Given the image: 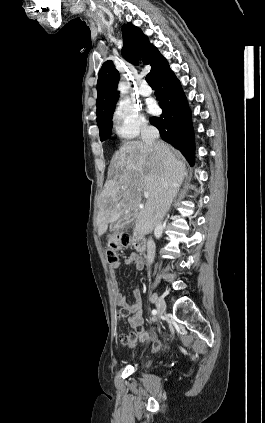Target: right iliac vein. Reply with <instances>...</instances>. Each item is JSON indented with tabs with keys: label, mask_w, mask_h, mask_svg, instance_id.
Returning a JSON list of instances; mask_svg holds the SVG:
<instances>
[{
	"label": "right iliac vein",
	"mask_w": 265,
	"mask_h": 423,
	"mask_svg": "<svg viewBox=\"0 0 265 423\" xmlns=\"http://www.w3.org/2000/svg\"><path fill=\"white\" fill-rule=\"evenodd\" d=\"M156 307L159 316L163 315L166 310V304L163 298H158L156 301Z\"/></svg>",
	"instance_id": "right-iliac-vein-1"
}]
</instances>
